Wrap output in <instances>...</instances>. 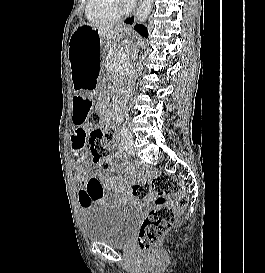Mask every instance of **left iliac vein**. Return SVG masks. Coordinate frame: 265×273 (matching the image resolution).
Here are the masks:
<instances>
[{
	"mask_svg": "<svg viewBox=\"0 0 265 273\" xmlns=\"http://www.w3.org/2000/svg\"><path fill=\"white\" fill-rule=\"evenodd\" d=\"M133 144L134 141L132 139V137H125L123 139V146L124 149L129 153V154H133Z\"/></svg>",
	"mask_w": 265,
	"mask_h": 273,
	"instance_id": "1",
	"label": "left iliac vein"
}]
</instances>
